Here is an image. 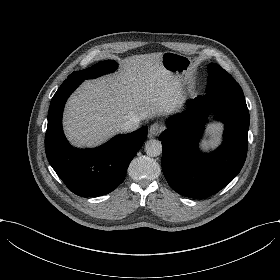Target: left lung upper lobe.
Here are the masks:
<instances>
[{
    "mask_svg": "<svg viewBox=\"0 0 280 280\" xmlns=\"http://www.w3.org/2000/svg\"><path fill=\"white\" fill-rule=\"evenodd\" d=\"M208 74L206 93L237 83L229 73L217 64L210 63L208 65Z\"/></svg>",
    "mask_w": 280,
    "mask_h": 280,
    "instance_id": "obj_1",
    "label": "left lung upper lobe"
}]
</instances>
